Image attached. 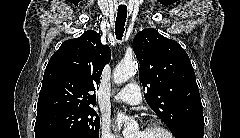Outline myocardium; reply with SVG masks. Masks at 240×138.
<instances>
[{
	"label": "myocardium",
	"mask_w": 240,
	"mask_h": 138,
	"mask_svg": "<svg viewBox=\"0 0 240 138\" xmlns=\"http://www.w3.org/2000/svg\"><path fill=\"white\" fill-rule=\"evenodd\" d=\"M146 129L160 131L165 134L166 138H173L171 131L158 123H150Z\"/></svg>",
	"instance_id": "f54148a6"
}]
</instances>
